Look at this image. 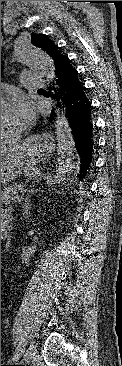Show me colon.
I'll use <instances>...</instances> for the list:
<instances>
[{
    "label": "colon",
    "instance_id": "1",
    "mask_svg": "<svg viewBox=\"0 0 122 366\" xmlns=\"http://www.w3.org/2000/svg\"><path fill=\"white\" fill-rule=\"evenodd\" d=\"M6 225L1 222V233L6 230Z\"/></svg>",
    "mask_w": 122,
    "mask_h": 366
}]
</instances>
